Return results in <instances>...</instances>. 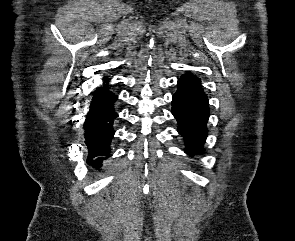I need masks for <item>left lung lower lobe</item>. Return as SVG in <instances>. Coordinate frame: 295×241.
Here are the masks:
<instances>
[{
    "label": "left lung lower lobe",
    "mask_w": 295,
    "mask_h": 241,
    "mask_svg": "<svg viewBox=\"0 0 295 241\" xmlns=\"http://www.w3.org/2000/svg\"><path fill=\"white\" fill-rule=\"evenodd\" d=\"M171 112L178 121L179 134L187 141L185 152L189 155L200 153L207 137L209 118L208 98L200 82L185 74L178 80Z\"/></svg>",
    "instance_id": "0a47b994"
}]
</instances>
